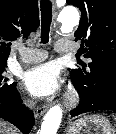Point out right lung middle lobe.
I'll return each mask as SVG.
<instances>
[{"label": "right lung middle lobe", "instance_id": "right-lung-middle-lobe-1", "mask_svg": "<svg viewBox=\"0 0 116 134\" xmlns=\"http://www.w3.org/2000/svg\"><path fill=\"white\" fill-rule=\"evenodd\" d=\"M7 64H0V103L10 102L17 96L16 83H10L6 75Z\"/></svg>", "mask_w": 116, "mask_h": 134}]
</instances>
